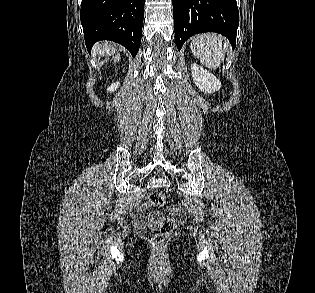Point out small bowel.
Instances as JSON below:
<instances>
[{"instance_id": "small-bowel-1", "label": "small bowel", "mask_w": 315, "mask_h": 293, "mask_svg": "<svg viewBox=\"0 0 315 293\" xmlns=\"http://www.w3.org/2000/svg\"><path fill=\"white\" fill-rule=\"evenodd\" d=\"M153 205L149 202L143 203L134 217V224L138 227L149 226L153 230L158 228L157 223L164 218V214L160 211H150Z\"/></svg>"}]
</instances>
